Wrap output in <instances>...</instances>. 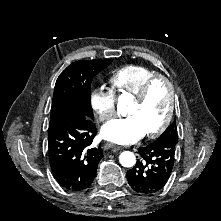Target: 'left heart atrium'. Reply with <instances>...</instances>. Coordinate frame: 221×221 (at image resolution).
Returning <instances> with one entry per match:
<instances>
[{"mask_svg":"<svg viewBox=\"0 0 221 221\" xmlns=\"http://www.w3.org/2000/svg\"><path fill=\"white\" fill-rule=\"evenodd\" d=\"M103 138L119 144H128L141 139L145 132L133 117L115 119L101 129Z\"/></svg>","mask_w":221,"mask_h":221,"instance_id":"1","label":"left heart atrium"}]
</instances>
